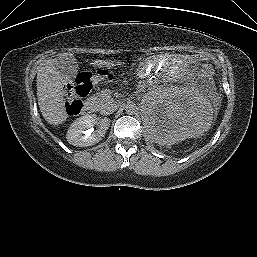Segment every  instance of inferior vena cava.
Masks as SVG:
<instances>
[{
  "instance_id": "602c4592",
  "label": "inferior vena cava",
  "mask_w": 257,
  "mask_h": 257,
  "mask_svg": "<svg viewBox=\"0 0 257 257\" xmlns=\"http://www.w3.org/2000/svg\"><path fill=\"white\" fill-rule=\"evenodd\" d=\"M117 108H118V105H117L115 102L109 101V102H107V103L105 104V106L101 109V113L108 115V114H111V113H113L114 111H116Z\"/></svg>"
}]
</instances>
